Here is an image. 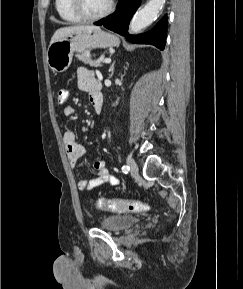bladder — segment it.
Returning <instances> with one entry per match:
<instances>
[{
    "mask_svg": "<svg viewBox=\"0 0 243 289\" xmlns=\"http://www.w3.org/2000/svg\"><path fill=\"white\" fill-rule=\"evenodd\" d=\"M138 218L127 214H113L104 216L100 221V226L110 231H123L134 226Z\"/></svg>",
    "mask_w": 243,
    "mask_h": 289,
    "instance_id": "obj_1",
    "label": "bladder"
}]
</instances>
